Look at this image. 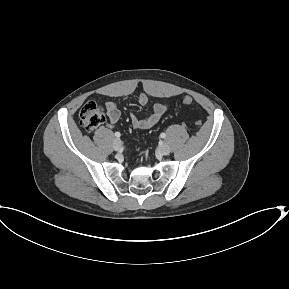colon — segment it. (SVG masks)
Here are the masks:
<instances>
[{"mask_svg": "<svg viewBox=\"0 0 289 289\" xmlns=\"http://www.w3.org/2000/svg\"><path fill=\"white\" fill-rule=\"evenodd\" d=\"M192 102L193 99L190 96L183 98V103L186 105H190ZM104 119L105 116L102 107L94 101L86 102L79 113L80 124L86 131L96 129L103 123ZM196 124L200 126L201 121L198 120Z\"/></svg>", "mask_w": 289, "mask_h": 289, "instance_id": "1", "label": "colon"}]
</instances>
